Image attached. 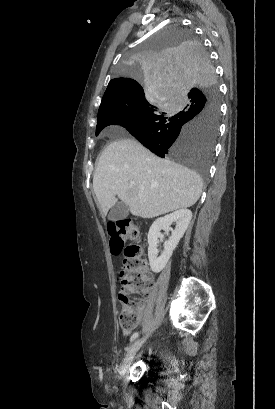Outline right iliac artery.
<instances>
[{
  "instance_id": "1",
  "label": "right iliac artery",
  "mask_w": 275,
  "mask_h": 409,
  "mask_svg": "<svg viewBox=\"0 0 275 409\" xmlns=\"http://www.w3.org/2000/svg\"><path fill=\"white\" fill-rule=\"evenodd\" d=\"M139 336V332H134L130 338V342H133Z\"/></svg>"
}]
</instances>
